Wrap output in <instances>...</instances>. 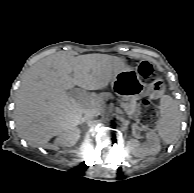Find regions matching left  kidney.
I'll return each mask as SVG.
<instances>
[{
  "label": "left kidney",
  "mask_w": 194,
  "mask_h": 193,
  "mask_svg": "<svg viewBox=\"0 0 194 193\" xmlns=\"http://www.w3.org/2000/svg\"><path fill=\"white\" fill-rule=\"evenodd\" d=\"M128 147L131 153L136 157H146L156 155L160 152V139L154 132L147 133V143L144 147L140 146L137 139H131L128 142Z\"/></svg>",
  "instance_id": "obj_1"
}]
</instances>
